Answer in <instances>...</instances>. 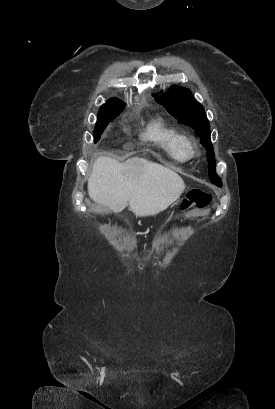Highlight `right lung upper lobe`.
Masks as SVG:
<instances>
[{
  "label": "right lung upper lobe",
  "instance_id": "obj_1",
  "mask_svg": "<svg viewBox=\"0 0 275 409\" xmlns=\"http://www.w3.org/2000/svg\"><path fill=\"white\" fill-rule=\"evenodd\" d=\"M125 106V104L118 100V99H111L107 101L100 109L99 112H108V111H117V110H122V108Z\"/></svg>",
  "mask_w": 275,
  "mask_h": 409
}]
</instances>
